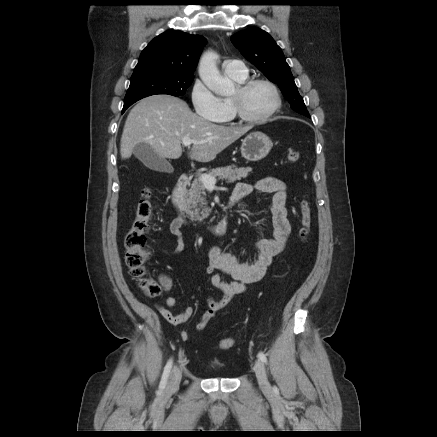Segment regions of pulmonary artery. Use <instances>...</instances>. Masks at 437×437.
<instances>
[{
  "instance_id": "1",
  "label": "pulmonary artery",
  "mask_w": 437,
  "mask_h": 437,
  "mask_svg": "<svg viewBox=\"0 0 437 437\" xmlns=\"http://www.w3.org/2000/svg\"><path fill=\"white\" fill-rule=\"evenodd\" d=\"M222 68L230 77H244L247 75V69L240 60H225L222 64Z\"/></svg>"
}]
</instances>
